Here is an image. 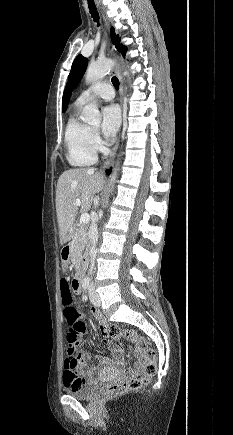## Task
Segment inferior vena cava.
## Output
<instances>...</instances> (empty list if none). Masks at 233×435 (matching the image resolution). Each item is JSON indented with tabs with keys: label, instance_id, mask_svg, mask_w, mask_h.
Returning <instances> with one entry per match:
<instances>
[{
	"label": "inferior vena cava",
	"instance_id": "1",
	"mask_svg": "<svg viewBox=\"0 0 233 435\" xmlns=\"http://www.w3.org/2000/svg\"><path fill=\"white\" fill-rule=\"evenodd\" d=\"M98 200L99 198L96 197L94 198V205L95 207L98 205ZM88 237L90 239V242L92 244L91 250H90V256H91V266H90V271L93 270L94 267V258H95V247L98 241V227L97 224L95 222H93L90 226L89 232H88Z\"/></svg>",
	"mask_w": 233,
	"mask_h": 435
}]
</instances>
